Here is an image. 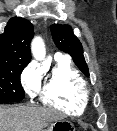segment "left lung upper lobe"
Segmentation results:
<instances>
[{"instance_id": "left-lung-upper-lobe-1", "label": "left lung upper lobe", "mask_w": 117, "mask_h": 131, "mask_svg": "<svg viewBox=\"0 0 117 131\" xmlns=\"http://www.w3.org/2000/svg\"><path fill=\"white\" fill-rule=\"evenodd\" d=\"M51 33L58 49L69 53L78 68L85 75H89V70L83 56L82 44L74 35L72 28L69 25L53 24L51 26Z\"/></svg>"}]
</instances>
